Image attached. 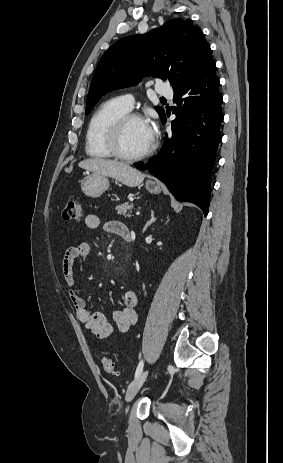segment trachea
Returning a JSON list of instances; mask_svg holds the SVG:
<instances>
[{
    "label": "trachea",
    "instance_id": "obj_1",
    "mask_svg": "<svg viewBox=\"0 0 283 463\" xmlns=\"http://www.w3.org/2000/svg\"><path fill=\"white\" fill-rule=\"evenodd\" d=\"M161 100H164V101H165V99H164V98H161Z\"/></svg>",
    "mask_w": 283,
    "mask_h": 463
}]
</instances>
